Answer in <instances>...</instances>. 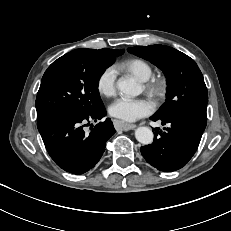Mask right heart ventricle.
<instances>
[{"instance_id":"1","label":"right heart ventricle","mask_w":231,"mask_h":231,"mask_svg":"<svg viewBox=\"0 0 231 231\" xmlns=\"http://www.w3.org/2000/svg\"><path fill=\"white\" fill-rule=\"evenodd\" d=\"M118 68L124 70L141 81L148 80L153 72L149 62L141 58H131L123 61Z\"/></svg>"}]
</instances>
